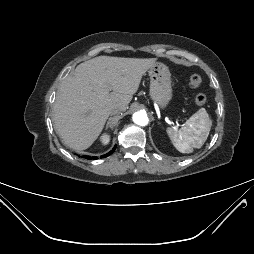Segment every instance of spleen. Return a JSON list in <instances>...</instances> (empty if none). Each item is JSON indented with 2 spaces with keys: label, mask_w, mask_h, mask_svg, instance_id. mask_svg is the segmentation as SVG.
I'll return each mask as SVG.
<instances>
[{
  "label": "spleen",
  "mask_w": 254,
  "mask_h": 254,
  "mask_svg": "<svg viewBox=\"0 0 254 254\" xmlns=\"http://www.w3.org/2000/svg\"><path fill=\"white\" fill-rule=\"evenodd\" d=\"M212 121L204 108L193 114L180 129L167 128L174 147L181 153L201 148L209 136Z\"/></svg>",
  "instance_id": "obj_1"
}]
</instances>
